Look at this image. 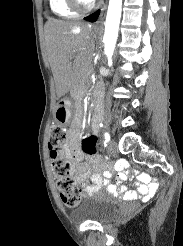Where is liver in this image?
Returning a JSON list of instances; mask_svg holds the SVG:
<instances>
[{
  "label": "liver",
  "instance_id": "1",
  "mask_svg": "<svg viewBox=\"0 0 183 246\" xmlns=\"http://www.w3.org/2000/svg\"><path fill=\"white\" fill-rule=\"evenodd\" d=\"M95 42L84 23L53 19L46 25V48L58 97L67 93L92 61Z\"/></svg>",
  "mask_w": 183,
  "mask_h": 246
}]
</instances>
